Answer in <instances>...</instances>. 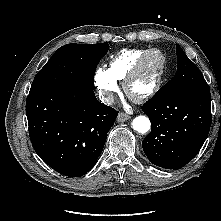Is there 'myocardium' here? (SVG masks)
<instances>
[{
    "mask_svg": "<svg viewBox=\"0 0 221 221\" xmlns=\"http://www.w3.org/2000/svg\"><path fill=\"white\" fill-rule=\"evenodd\" d=\"M153 54H158L160 56V65H159V69H158L155 81L153 82V84L151 85V87L147 91H145L141 94L135 95L130 90L131 84L135 80V78L140 74V72L144 68L147 60ZM166 63H167L166 56L161 50H159L157 48H152V49L147 50L136 61V63L133 65V67L131 68V70L128 72V74L126 75V77L123 80V89H124L125 93L127 94V96L134 102H143V101L151 98L152 96H154L159 91V89L162 85L163 77H164V73H165V68H166Z\"/></svg>",
    "mask_w": 221,
    "mask_h": 221,
    "instance_id": "obj_1",
    "label": "myocardium"
}]
</instances>
